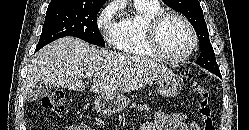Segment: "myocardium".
<instances>
[{
  "label": "myocardium",
  "mask_w": 249,
  "mask_h": 130,
  "mask_svg": "<svg viewBox=\"0 0 249 130\" xmlns=\"http://www.w3.org/2000/svg\"><path fill=\"white\" fill-rule=\"evenodd\" d=\"M170 17H174L182 21L187 27L191 37V42L187 51L176 57L165 53L159 43L160 27ZM145 37L147 45L154 56L169 63H181L186 61L191 57L198 45V36L194 26L186 16L176 11L163 10L152 16L146 23Z\"/></svg>",
  "instance_id": "obj_1"
}]
</instances>
